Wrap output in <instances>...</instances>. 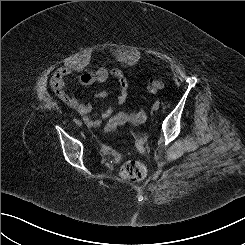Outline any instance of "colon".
I'll return each mask as SVG.
<instances>
[{"mask_svg": "<svg viewBox=\"0 0 245 245\" xmlns=\"http://www.w3.org/2000/svg\"><path fill=\"white\" fill-rule=\"evenodd\" d=\"M165 86L164 82L151 78L147 83V90L149 92H157L163 89ZM147 119V113L145 110H140L135 114H118L113 117L107 124L106 130L111 131L117 127V125L125 122H130L132 124H141ZM120 176L122 179L129 182H140L146 177V167L140 160H130L127 161L120 170Z\"/></svg>", "mask_w": 245, "mask_h": 245, "instance_id": "1", "label": "colon"}]
</instances>
